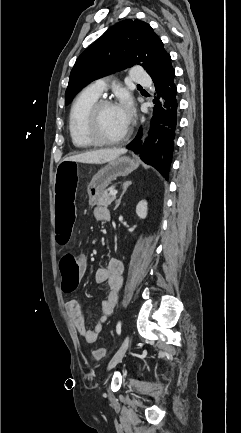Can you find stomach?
I'll return each mask as SVG.
<instances>
[{"label":"stomach","instance_id":"0dacf381","mask_svg":"<svg viewBox=\"0 0 241 433\" xmlns=\"http://www.w3.org/2000/svg\"><path fill=\"white\" fill-rule=\"evenodd\" d=\"M138 165L139 163L135 159L129 157H117L113 161H110L92 177L87 187L89 203L94 205L97 198L112 181L116 180L117 177L129 175L137 169Z\"/></svg>","mask_w":241,"mask_h":433}]
</instances>
